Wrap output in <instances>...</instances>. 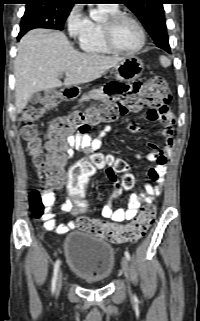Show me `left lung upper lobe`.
I'll list each match as a JSON object with an SVG mask.
<instances>
[{
	"label": "left lung upper lobe",
	"instance_id": "obj_1",
	"mask_svg": "<svg viewBox=\"0 0 200 321\" xmlns=\"http://www.w3.org/2000/svg\"><path fill=\"white\" fill-rule=\"evenodd\" d=\"M164 2L165 0H122V3L138 17L155 44L167 50L170 46L163 9Z\"/></svg>",
	"mask_w": 200,
	"mask_h": 321
}]
</instances>
